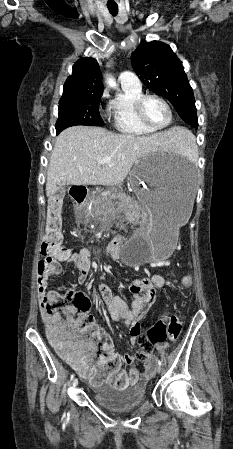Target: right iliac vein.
I'll list each match as a JSON object with an SVG mask.
<instances>
[{"mask_svg":"<svg viewBox=\"0 0 233 449\" xmlns=\"http://www.w3.org/2000/svg\"><path fill=\"white\" fill-rule=\"evenodd\" d=\"M73 386L76 387L78 385V379L75 378L72 382Z\"/></svg>","mask_w":233,"mask_h":449,"instance_id":"right-iliac-vein-1","label":"right iliac vein"}]
</instances>
